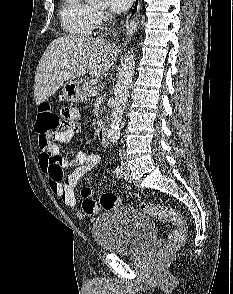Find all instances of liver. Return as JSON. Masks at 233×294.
<instances>
[{
  "mask_svg": "<svg viewBox=\"0 0 233 294\" xmlns=\"http://www.w3.org/2000/svg\"><path fill=\"white\" fill-rule=\"evenodd\" d=\"M118 48L104 39L64 36L53 40L43 53L35 73L36 105L45 102L67 80L89 73L105 75L117 60Z\"/></svg>",
  "mask_w": 233,
  "mask_h": 294,
  "instance_id": "obj_1",
  "label": "liver"
}]
</instances>
